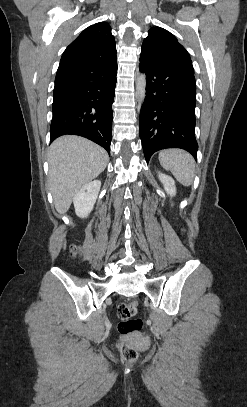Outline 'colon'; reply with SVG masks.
<instances>
[{
    "mask_svg": "<svg viewBox=\"0 0 247 407\" xmlns=\"http://www.w3.org/2000/svg\"><path fill=\"white\" fill-rule=\"evenodd\" d=\"M79 249L73 246L70 250L71 256L75 257L79 254ZM138 303L131 301L128 303H121L116 310V317L118 320V330L121 334L136 333L142 328V321L136 318ZM121 359L126 364H131L136 361L138 357L137 350L128 343H121L119 345Z\"/></svg>",
    "mask_w": 247,
    "mask_h": 407,
    "instance_id": "1",
    "label": "colon"
}]
</instances>
